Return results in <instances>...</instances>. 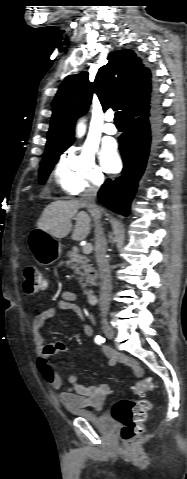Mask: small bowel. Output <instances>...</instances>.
Instances as JSON below:
<instances>
[{
    "label": "small bowel",
    "instance_id": "obj_1",
    "mask_svg": "<svg viewBox=\"0 0 187 479\" xmlns=\"http://www.w3.org/2000/svg\"><path fill=\"white\" fill-rule=\"evenodd\" d=\"M78 296L74 292L66 291L60 295L56 306L35 314L32 318V337L37 351L36 366L43 379L54 389L60 390L59 399L61 403L70 410L92 408L100 410L109 393V386L102 382L98 385H83L78 382L76 375L69 373L68 380L71 387L62 390L63 381L61 376L55 372L50 365V358L61 352L68 350L67 343L62 341L45 343L41 333L45 322L54 318L59 310H69L81 315L80 308L77 305ZM84 334L89 337L92 335V328L89 324L84 325ZM101 352L108 358L110 366L124 364L136 376L140 377L143 371L137 361L123 354L117 353L109 347H101Z\"/></svg>",
    "mask_w": 187,
    "mask_h": 479
}]
</instances>
